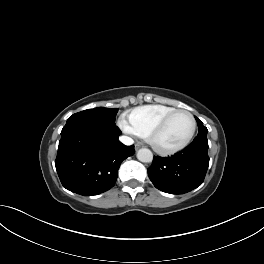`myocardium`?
I'll return each instance as SVG.
<instances>
[{
	"label": "myocardium",
	"mask_w": 264,
	"mask_h": 264,
	"mask_svg": "<svg viewBox=\"0 0 264 264\" xmlns=\"http://www.w3.org/2000/svg\"><path fill=\"white\" fill-rule=\"evenodd\" d=\"M181 113L188 115L192 121V129H191L189 136L182 143H180L178 145L171 146V147L159 146L155 141L156 136L164 130V128L166 127L168 122L175 115L181 114ZM196 130H197V121H196V118L194 117V115L188 110L176 109V110L170 112L169 114H167L157 125L154 126V128L148 134L147 140H148V143L150 144V146L156 152H158L159 154H163V155H169V154L179 152V151L183 150L184 148H186L192 142V140L196 134Z\"/></svg>",
	"instance_id": "f54148a6"
}]
</instances>
